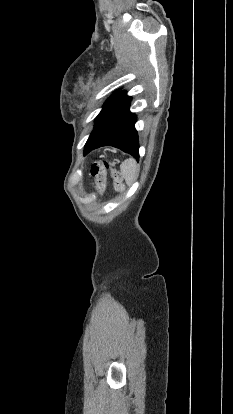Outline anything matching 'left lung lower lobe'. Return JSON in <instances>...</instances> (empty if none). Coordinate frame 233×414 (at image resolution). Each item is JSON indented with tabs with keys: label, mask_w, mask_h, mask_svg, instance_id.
Wrapping results in <instances>:
<instances>
[{
	"label": "left lung lower lobe",
	"mask_w": 233,
	"mask_h": 414,
	"mask_svg": "<svg viewBox=\"0 0 233 414\" xmlns=\"http://www.w3.org/2000/svg\"><path fill=\"white\" fill-rule=\"evenodd\" d=\"M131 97L118 92L108 98L96 117L84 154L101 146H113L139 159V143L134 127L136 116L129 111Z\"/></svg>",
	"instance_id": "left-lung-lower-lobe-1"
}]
</instances>
